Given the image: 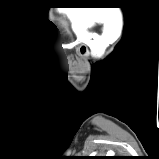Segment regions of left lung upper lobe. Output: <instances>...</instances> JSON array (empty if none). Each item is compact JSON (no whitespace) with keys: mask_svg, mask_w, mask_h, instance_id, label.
<instances>
[{"mask_svg":"<svg viewBox=\"0 0 159 159\" xmlns=\"http://www.w3.org/2000/svg\"><path fill=\"white\" fill-rule=\"evenodd\" d=\"M96 159H107V158H105V157H98V158H96Z\"/></svg>","mask_w":159,"mask_h":159,"instance_id":"left-lung-upper-lobe-1","label":"left lung upper lobe"}]
</instances>
